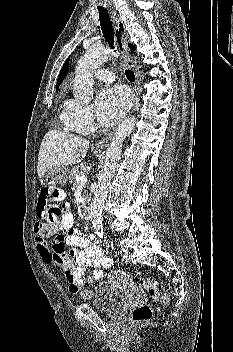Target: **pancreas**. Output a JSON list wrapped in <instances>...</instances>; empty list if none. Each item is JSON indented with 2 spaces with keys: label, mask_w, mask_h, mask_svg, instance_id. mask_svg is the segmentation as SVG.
Returning <instances> with one entry per match:
<instances>
[{
  "label": "pancreas",
  "mask_w": 233,
  "mask_h": 352,
  "mask_svg": "<svg viewBox=\"0 0 233 352\" xmlns=\"http://www.w3.org/2000/svg\"><path fill=\"white\" fill-rule=\"evenodd\" d=\"M68 173H69L70 181L73 183V186L76 187L78 185V182L76 180V176L79 174V168L74 167ZM85 198L87 199L88 197L86 196Z\"/></svg>",
  "instance_id": "obj_1"
}]
</instances>
